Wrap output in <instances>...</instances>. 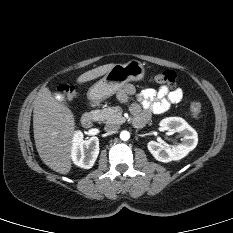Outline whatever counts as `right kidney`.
Returning a JSON list of instances; mask_svg holds the SVG:
<instances>
[{"label":"right kidney","instance_id":"ca27d5eb","mask_svg":"<svg viewBox=\"0 0 233 233\" xmlns=\"http://www.w3.org/2000/svg\"><path fill=\"white\" fill-rule=\"evenodd\" d=\"M99 154V139L91 137L83 140L81 131H76L72 137L71 157L75 165L90 169L94 165Z\"/></svg>","mask_w":233,"mask_h":233}]
</instances>
